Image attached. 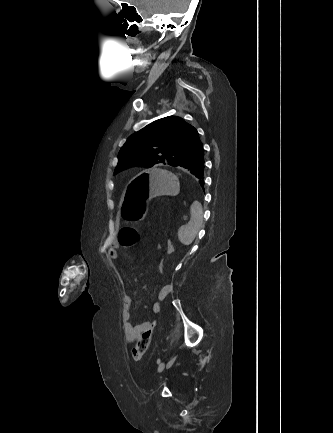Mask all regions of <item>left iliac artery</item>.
I'll list each match as a JSON object with an SVG mask.
<instances>
[{
  "label": "left iliac artery",
  "instance_id": "44dca946",
  "mask_svg": "<svg viewBox=\"0 0 333 433\" xmlns=\"http://www.w3.org/2000/svg\"><path fill=\"white\" fill-rule=\"evenodd\" d=\"M172 362H173V361H172ZM157 363H158V364L160 363V359L157 360Z\"/></svg>",
  "mask_w": 333,
  "mask_h": 433
}]
</instances>
